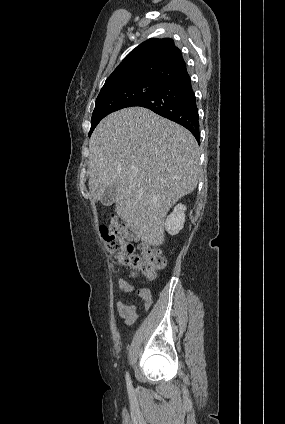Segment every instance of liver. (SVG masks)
Wrapping results in <instances>:
<instances>
[{
  "mask_svg": "<svg viewBox=\"0 0 285 424\" xmlns=\"http://www.w3.org/2000/svg\"><path fill=\"white\" fill-rule=\"evenodd\" d=\"M89 149L93 199L101 201L104 189L115 185L118 216L145 243L163 244L170 207L198 183L199 149L191 132L149 109L129 107L97 125Z\"/></svg>",
  "mask_w": 285,
  "mask_h": 424,
  "instance_id": "liver-1",
  "label": "liver"
}]
</instances>
